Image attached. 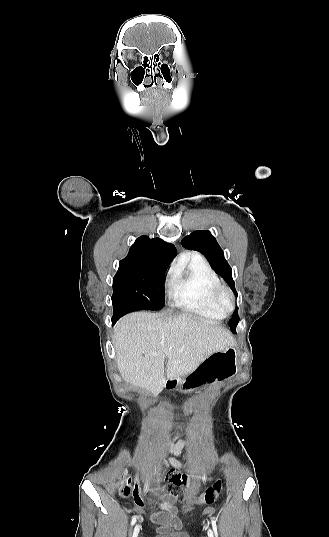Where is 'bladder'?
Returning a JSON list of instances; mask_svg holds the SVG:
<instances>
[{
	"mask_svg": "<svg viewBox=\"0 0 329 537\" xmlns=\"http://www.w3.org/2000/svg\"><path fill=\"white\" fill-rule=\"evenodd\" d=\"M154 537H191V535L185 531L158 530Z\"/></svg>",
	"mask_w": 329,
	"mask_h": 537,
	"instance_id": "31cf9c89",
	"label": "bladder"
}]
</instances>
